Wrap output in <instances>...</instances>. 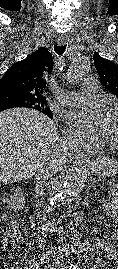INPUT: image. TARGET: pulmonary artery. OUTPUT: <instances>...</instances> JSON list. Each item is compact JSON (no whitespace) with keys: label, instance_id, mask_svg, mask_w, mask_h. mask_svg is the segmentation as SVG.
Instances as JSON below:
<instances>
[{"label":"pulmonary artery","instance_id":"1","mask_svg":"<svg viewBox=\"0 0 118 269\" xmlns=\"http://www.w3.org/2000/svg\"><path fill=\"white\" fill-rule=\"evenodd\" d=\"M98 83L94 77H88L83 82V91H69L65 94L63 103L69 106H75L83 103L91 97L97 90Z\"/></svg>","mask_w":118,"mask_h":269}]
</instances>
